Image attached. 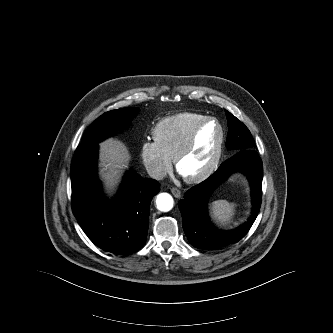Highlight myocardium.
Returning <instances> with one entry per match:
<instances>
[{
  "mask_svg": "<svg viewBox=\"0 0 333 333\" xmlns=\"http://www.w3.org/2000/svg\"><path fill=\"white\" fill-rule=\"evenodd\" d=\"M214 123L217 125L219 129V141L216 149V153L214 155L213 160L211 163L208 165V167L200 172L199 174H196L194 176L186 177L183 176L184 180L187 183L190 184H196L203 182L204 180L208 179L218 168L222 155H223V149H224V144H225V129L223 125L213 117H207L203 121H201L199 124H197L193 130L191 131L190 135L184 142V144L181 146V148L177 151L175 157H174V164L176 170L180 173L179 171V165L180 162L184 159V157L191 151V149L194 146L196 137L198 133L208 124ZM181 174V173H180Z\"/></svg>",
  "mask_w": 333,
  "mask_h": 333,
  "instance_id": "f54148a6",
  "label": "myocardium"
}]
</instances>
